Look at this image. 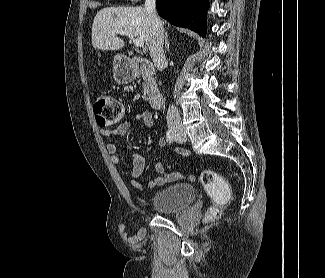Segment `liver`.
<instances>
[{"mask_svg": "<svg viewBox=\"0 0 325 278\" xmlns=\"http://www.w3.org/2000/svg\"><path fill=\"white\" fill-rule=\"evenodd\" d=\"M160 20V19H159ZM162 25L164 22L160 20ZM128 30L150 45L152 26L144 7H107L97 12L92 24V45L95 49L115 50L124 47L116 30Z\"/></svg>", "mask_w": 325, "mask_h": 278, "instance_id": "liver-1", "label": "liver"}]
</instances>
